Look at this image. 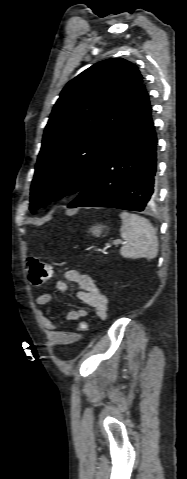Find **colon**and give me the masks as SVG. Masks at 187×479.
Segmentation results:
<instances>
[{
  "mask_svg": "<svg viewBox=\"0 0 187 479\" xmlns=\"http://www.w3.org/2000/svg\"><path fill=\"white\" fill-rule=\"evenodd\" d=\"M29 282L35 286L43 284L50 275V267L47 263L36 257H29L25 262ZM89 329V323L86 320L81 321L77 326L79 333H86Z\"/></svg>",
  "mask_w": 187,
  "mask_h": 479,
  "instance_id": "1",
  "label": "colon"
}]
</instances>
